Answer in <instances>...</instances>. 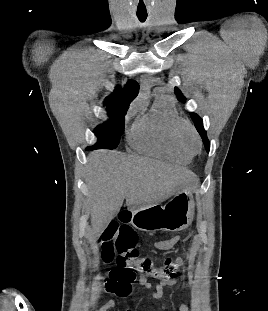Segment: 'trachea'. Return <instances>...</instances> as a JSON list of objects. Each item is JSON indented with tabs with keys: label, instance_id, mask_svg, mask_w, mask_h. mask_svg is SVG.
Masks as SVG:
<instances>
[{
	"label": "trachea",
	"instance_id": "trachea-1",
	"mask_svg": "<svg viewBox=\"0 0 268 311\" xmlns=\"http://www.w3.org/2000/svg\"><path fill=\"white\" fill-rule=\"evenodd\" d=\"M137 17H138L140 22H145L147 15L137 14Z\"/></svg>",
	"mask_w": 268,
	"mask_h": 311
}]
</instances>
